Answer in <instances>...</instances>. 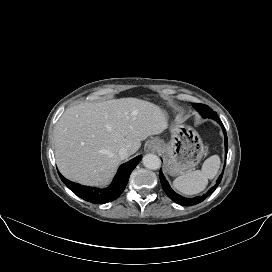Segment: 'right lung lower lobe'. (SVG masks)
Listing matches in <instances>:
<instances>
[{"instance_id": "obj_1", "label": "right lung lower lobe", "mask_w": 272, "mask_h": 272, "mask_svg": "<svg viewBox=\"0 0 272 272\" xmlns=\"http://www.w3.org/2000/svg\"><path fill=\"white\" fill-rule=\"evenodd\" d=\"M142 156L139 155L134 159L124 163L118 169V172L112 182V184L106 189H98L95 187H87L74 182H71L64 178L59 172L61 180L66 186L75 193L78 197L91 202V203H108L117 199L126 187L129 176L133 169L140 162Z\"/></svg>"}]
</instances>
